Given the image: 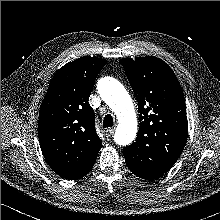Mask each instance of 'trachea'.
Returning a JSON list of instances; mask_svg holds the SVG:
<instances>
[{
  "label": "trachea",
  "mask_w": 220,
  "mask_h": 220,
  "mask_svg": "<svg viewBox=\"0 0 220 220\" xmlns=\"http://www.w3.org/2000/svg\"><path fill=\"white\" fill-rule=\"evenodd\" d=\"M114 121H113V117L111 116V114H107L105 115L104 119H103V128H108L113 126Z\"/></svg>",
  "instance_id": "obj_1"
}]
</instances>
